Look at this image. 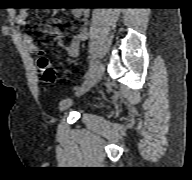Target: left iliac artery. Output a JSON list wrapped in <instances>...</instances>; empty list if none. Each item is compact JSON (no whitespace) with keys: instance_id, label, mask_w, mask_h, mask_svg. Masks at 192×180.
<instances>
[{"instance_id":"44dca946","label":"left iliac artery","mask_w":192,"mask_h":180,"mask_svg":"<svg viewBox=\"0 0 192 180\" xmlns=\"http://www.w3.org/2000/svg\"><path fill=\"white\" fill-rule=\"evenodd\" d=\"M96 68V61L94 59L91 60V65H90V68L87 72V74L85 75L86 78H88L92 73L93 71L95 70Z\"/></svg>"}]
</instances>
